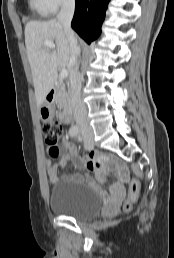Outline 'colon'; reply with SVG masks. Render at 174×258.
<instances>
[{
	"label": "colon",
	"mask_w": 174,
	"mask_h": 258,
	"mask_svg": "<svg viewBox=\"0 0 174 258\" xmlns=\"http://www.w3.org/2000/svg\"><path fill=\"white\" fill-rule=\"evenodd\" d=\"M45 142L50 146V155L57 156V143L60 137L63 134V126L60 122L57 121H48L45 122L42 128ZM140 191V183L137 179H133L129 187L128 198L122 203V210L129 211L136 201Z\"/></svg>",
	"instance_id": "obj_1"
}]
</instances>
